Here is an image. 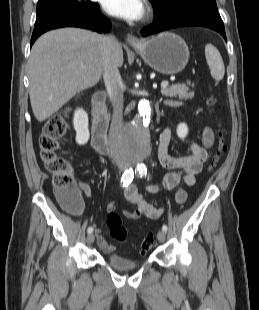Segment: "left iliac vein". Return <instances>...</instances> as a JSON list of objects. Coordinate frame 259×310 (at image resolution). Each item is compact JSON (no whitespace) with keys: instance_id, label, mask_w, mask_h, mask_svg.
<instances>
[{"instance_id":"left-iliac-vein-1","label":"left iliac vein","mask_w":259,"mask_h":310,"mask_svg":"<svg viewBox=\"0 0 259 310\" xmlns=\"http://www.w3.org/2000/svg\"><path fill=\"white\" fill-rule=\"evenodd\" d=\"M157 238L159 240V242L163 243L166 239V235L164 231H159L157 234Z\"/></svg>"}]
</instances>
